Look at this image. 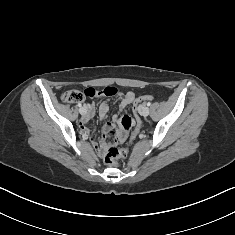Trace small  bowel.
Instances as JSON below:
<instances>
[{
  "label": "small bowel",
  "instance_id": "c3829d8e",
  "mask_svg": "<svg viewBox=\"0 0 235 235\" xmlns=\"http://www.w3.org/2000/svg\"><path fill=\"white\" fill-rule=\"evenodd\" d=\"M112 95H117L118 99L120 100V110L124 111L128 106H130L134 99H135V95L133 92H127V93H118L117 90L114 88V94ZM84 107L87 111L86 117L84 119H82L80 121V127L85 130V131H89L88 126H87V122L90 118L93 117L94 113H95V106L93 104H84ZM109 112V104L107 102H103L100 105L99 108V116L102 120L107 118ZM118 121V117H114L113 119V123H116ZM113 123L111 122H107L104 125V130L108 131L113 127Z\"/></svg>",
  "mask_w": 235,
  "mask_h": 235
}]
</instances>
